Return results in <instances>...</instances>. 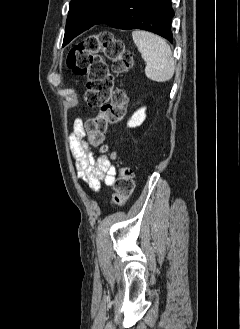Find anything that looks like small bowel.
<instances>
[{
  "mask_svg": "<svg viewBox=\"0 0 240 329\" xmlns=\"http://www.w3.org/2000/svg\"><path fill=\"white\" fill-rule=\"evenodd\" d=\"M86 134L83 120L76 118L69 141L77 175L92 190L97 191L101 183L111 185L114 182L116 171L106 155H100L97 158L94 156L85 141Z\"/></svg>",
  "mask_w": 240,
  "mask_h": 329,
  "instance_id": "c3829d8e",
  "label": "small bowel"
}]
</instances>
